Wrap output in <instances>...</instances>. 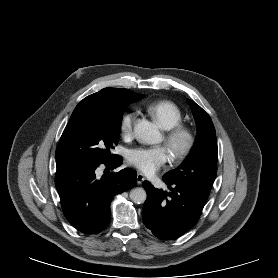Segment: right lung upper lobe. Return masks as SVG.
<instances>
[{"label":"right lung upper lobe","mask_w":278,"mask_h":278,"mask_svg":"<svg viewBox=\"0 0 278 278\" xmlns=\"http://www.w3.org/2000/svg\"><path fill=\"white\" fill-rule=\"evenodd\" d=\"M142 94H136L128 89L104 88L97 93L87 96L81 102H94L99 105H114L120 100H132Z\"/></svg>","instance_id":"obj_1"}]
</instances>
